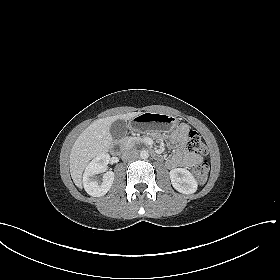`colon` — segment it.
I'll return each instance as SVG.
<instances>
[{
  "mask_svg": "<svg viewBox=\"0 0 280 280\" xmlns=\"http://www.w3.org/2000/svg\"><path fill=\"white\" fill-rule=\"evenodd\" d=\"M186 146L191 152H205L206 146L201 135L196 130H189L185 139ZM195 179L199 183L207 180L209 172V164L206 160L201 161L192 169Z\"/></svg>",
  "mask_w": 280,
  "mask_h": 280,
  "instance_id": "1",
  "label": "colon"
}]
</instances>
